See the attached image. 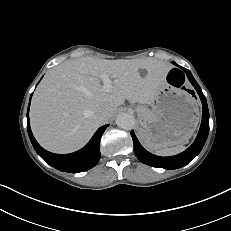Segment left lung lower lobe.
I'll list each match as a JSON object with an SVG mask.
<instances>
[{
  "label": "left lung lower lobe",
  "mask_w": 231,
  "mask_h": 231,
  "mask_svg": "<svg viewBox=\"0 0 231 231\" xmlns=\"http://www.w3.org/2000/svg\"><path fill=\"white\" fill-rule=\"evenodd\" d=\"M184 71L186 72L189 81L196 89L202 102L203 113H202V122H201L199 133L194 143L186 151L171 157H159L146 151L139 143L134 132L131 131V136L133 138V144H134V152L137 158L144 164L150 165L152 167L164 168V169L181 168L187 165L193 158H195L200 153L206 142L209 132V111H208L207 101L204 94L201 91V88L193 78L190 71L188 70H184Z\"/></svg>",
  "instance_id": "0a47b994"
}]
</instances>
